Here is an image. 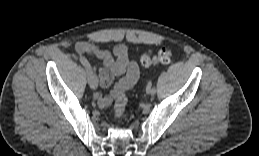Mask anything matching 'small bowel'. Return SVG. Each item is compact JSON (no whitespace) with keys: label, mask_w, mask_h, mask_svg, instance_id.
<instances>
[{"label":"small bowel","mask_w":259,"mask_h":156,"mask_svg":"<svg viewBox=\"0 0 259 156\" xmlns=\"http://www.w3.org/2000/svg\"><path fill=\"white\" fill-rule=\"evenodd\" d=\"M75 52L78 55L95 57L102 64L98 70L100 87L111 85L114 77L126 73L113 88L110 95L103 96L100 92L95 94L98 105L102 108L108 107L120 90L131 88L139 77L138 65L134 60L129 59L128 49L125 45H117L113 51L100 49L96 44L86 41L76 43Z\"/></svg>","instance_id":"1"}]
</instances>
